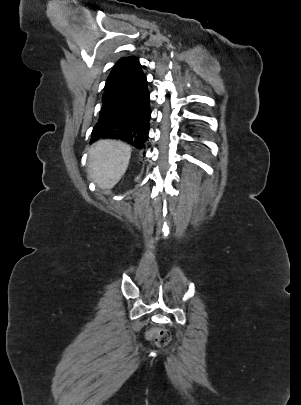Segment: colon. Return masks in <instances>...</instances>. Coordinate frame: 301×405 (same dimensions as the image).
<instances>
[{"label":"colon","instance_id":"5ec220e1","mask_svg":"<svg viewBox=\"0 0 301 405\" xmlns=\"http://www.w3.org/2000/svg\"><path fill=\"white\" fill-rule=\"evenodd\" d=\"M149 339L154 340L157 346L163 347L166 346L171 339V334L167 329H154L148 332L147 334Z\"/></svg>","mask_w":301,"mask_h":405}]
</instances>
